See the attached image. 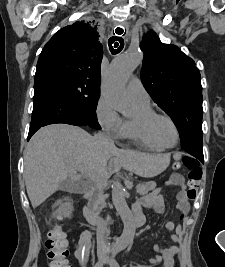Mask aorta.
<instances>
[{
	"label": "aorta",
	"instance_id": "obj_1",
	"mask_svg": "<svg viewBox=\"0 0 225 267\" xmlns=\"http://www.w3.org/2000/svg\"><path fill=\"white\" fill-rule=\"evenodd\" d=\"M142 61V53L139 50H131L116 57L106 75L102 94L105 100L119 111L129 108V100L126 94V83L131 73ZM112 201L117 213L124 224V230L116 242L118 249L127 247L135 234L134 218L125 200L124 188L119 181L112 186Z\"/></svg>",
	"mask_w": 225,
	"mask_h": 267
}]
</instances>
